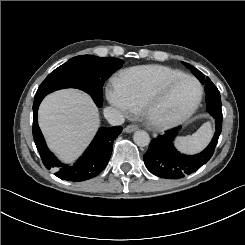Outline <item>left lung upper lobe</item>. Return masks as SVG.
I'll use <instances>...</instances> for the list:
<instances>
[{
  "label": "left lung upper lobe",
  "mask_w": 245,
  "mask_h": 245,
  "mask_svg": "<svg viewBox=\"0 0 245 245\" xmlns=\"http://www.w3.org/2000/svg\"><path fill=\"white\" fill-rule=\"evenodd\" d=\"M184 65L189 68L194 75H196L197 78L201 77L203 74L196 68H194L193 66H191L190 64L188 63H184Z\"/></svg>",
  "instance_id": "obj_1"
}]
</instances>
